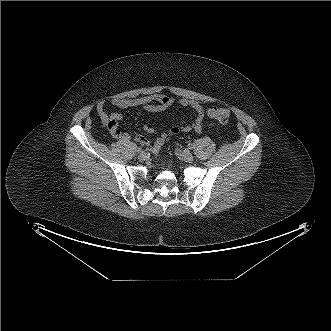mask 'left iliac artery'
Here are the masks:
<instances>
[{
    "instance_id": "44dca946",
    "label": "left iliac artery",
    "mask_w": 331,
    "mask_h": 331,
    "mask_svg": "<svg viewBox=\"0 0 331 331\" xmlns=\"http://www.w3.org/2000/svg\"><path fill=\"white\" fill-rule=\"evenodd\" d=\"M188 148L192 149L193 148V145L192 144H188Z\"/></svg>"
}]
</instances>
